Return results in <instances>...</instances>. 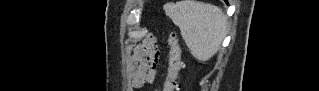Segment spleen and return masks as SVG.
I'll return each mask as SVG.
<instances>
[{"instance_id": "1", "label": "spleen", "mask_w": 319, "mask_h": 91, "mask_svg": "<svg viewBox=\"0 0 319 91\" xmlns=\"http://www.w3.org/2000/svg\"><path fill=\"white\" fill-rule=\"evenodd\" d=\"M165 14L179 27L190 53L200 62L210 60L227 32V17L221 8L194 0L169 2Z\"/></svg>"}]
</instances>
